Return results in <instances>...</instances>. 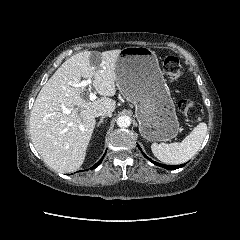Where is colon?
Returning <instances> with one entry per match:
<instances>
[{
	"instance_id": "5ec220e1",
	"label": "colon",
	"mask_w": 240,
	"mask_h": 240,
	"mask_svg": "<svg viewBox=\"0 0 240 240\" xmlns=\"http://www.w3.org/2000/svg\"><path fill=\"white\" fill-rule=\"evenodd\" d=\"M163 71L168 79L174 81L180 78L183 73V68L177 57L168 56L164 60ZM178 109L186 118L191 121H198L203 116V109L201 105L192 100H180L178 103Z\"/></svg>"
}]
</instances>
